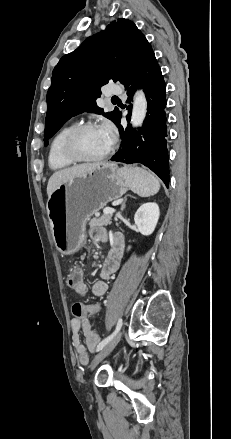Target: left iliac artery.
Returning <instances> with one entry per match:
<instances>
[{
	"label": "left iliac artery",
	"mask_w": 231,
	"mask_h": 439,
	"mask_svg": "<svg viewBox=\"0 0 231 439\" xmlns=\"http://www.w3.org/2000/svg\"><path fill=\"white\" fill-rule=\"evenodd\" d=\"M121 326H122V319L119 318V319H118V322H117V326H116L115 331H114L111 335H109L107 338H105L104 340H102V341L99 343V345H98V347H97V351L102 350L103 347H104L105 345H107V344H108V343L114 338V336H115V335L119 332V330L121 329Z\"/></svg>",
	"instance_id": "left-iliac-artery-1"
}]
</instances>
